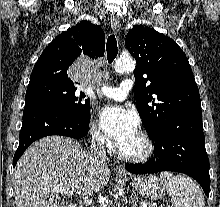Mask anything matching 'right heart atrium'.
Here are the masks:
<instances>
[{
  "instance_id": "obj_1",
  "label": "right heart atrium",
  "mask_w": 220,
  "mask_h": 207,
  "mask_svg": "<svg viewBox=\"0 0 220 207\" xmlns=\"http://www.w3.org/2000/svg\"><path fill=\"white\" fill-rule=\"evenodd\" d=\"M90 135H91L93 142L97 146L102 147V148H109L110 147V141H109L108 137L101 130V128L97 122H93L91 124Z\"/></svg>"
}]
</instances>
